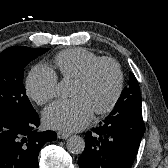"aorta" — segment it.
<instances>
[{"mask_svg":"<svg viewBox=\"0 0 168 168\" xmlns=\"http://www.w3.org/2000/svg\"><path fill=\"white\" fill-rule=\"evenodd\" d=\"M58 87L61 95L67 96L71 91V82L64 79L58 84ZM66 148L72 154H81L85 148V141L78 135L71 136L67 140Z\"/></svg>","mask_w":168,"mask_h":168,"instance_id":"aorta-1","label":"aorta"}]
</instances>
